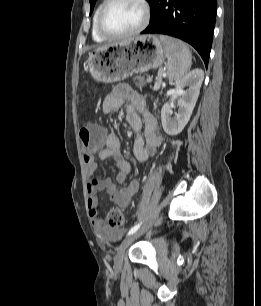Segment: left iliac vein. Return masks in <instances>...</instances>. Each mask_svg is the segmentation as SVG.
<instances>
[{"label":"left iliac vein","mask_w":261,"mask_h":306,"mask_svg":"<svg viewBox=\"0 0 261 306\" xmlns=\"http://www.w3.org/2000/svg\"><path fill=\"white\" fill-rule=\"evenodd\" d=\"M145 227L141 228L140 230L136 231L135 233L129 235L119 246L117 249L116 255L114 257V267L116 269H120L122 267L123 258L126 249L130 246V244L135 241L144 231Z\"/></svg>","instance_id":"1"}]
</instances>
